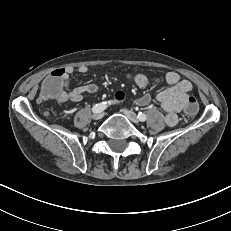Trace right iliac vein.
Segmentation results:
<instances>
[{
    "label": "right iliac vein",
    "mask_w": 231,
    "mask_h": 231,
    "mask_svg": "<svg viewBox=\"0 0 231 231\" xmlns=\"http://www.w3.org/2000/svg\"><path fill=\"white\" fill-rule=\"evenodd\" d=\"M102 117H103V113H102V112L94 113V114L92 115V118H93L94 120H100Z\"/></svg>",
    "instance_id": "63e3f726"
}]
</instances>
